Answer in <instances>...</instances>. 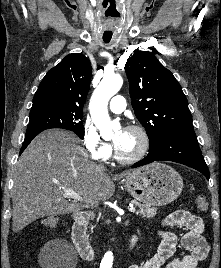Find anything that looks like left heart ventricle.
Returning a JSON list of instances; mask_svg holds the SVG:
<instances>
[{
    "mask_svg": "<svg viewBox=\"0 0 221 268\" xmlns=\"http://www.w3.org/2000/svg\"><path fill=\"white\" fill-rule=\"evenodd\" d=\"M122 133L123 131H118L113 137L115 144L120 142L117 146L118 152L125 157L134 156L141 148V137L134 131L126 130L121 139Z\"/></svg>",
    "mask_w": 221,
    "mask_h": 268,
    "instance_id": "obj_1",
    "label": "left heart ventricle"
}]
</instances>
